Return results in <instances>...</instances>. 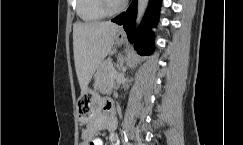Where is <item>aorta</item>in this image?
<instances>
[{
	"mask_svg": "<svg viewBox=\"0 0 243 145\" xmlns=\"http://www.w3.org/2000/svg\"><path fill=\"white\" fill-rule=\"evenodd\" d=\"M147 5H148V0H138V5H137L138 12H137V18H136L137 25L140 23L143 15L145 13V10L147 8Z\"/></svg>",
	"mask_w": 243,
	"mask_h": 145,
	"instance_id": "obj_1",
	"label": "aorta"
}]
</instances>
